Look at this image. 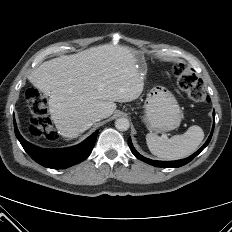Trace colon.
<instances>
[{
    "instance_id": "obj_1",
    "label": "colon",
    "mask_w": 232,
    "mask_h": 232,
    "mask_svg": "<svg viewBox=\"0 0 232 232\" xmlns=\"http://www.w3.org/2000/svg\"><path fill=\"white\" fill-rule=\"evenodd\" d=\"M172 74L177 87L192 101L197 103L207 101L202 80L184 64H175L172 67ZM25 99L31 112L29 133L33 137H43L47 140L57 139L58 135L51 125L47 113V100L43 94L38 89L31 87L26 91Z\"/></svg>"
}]
</instances>
